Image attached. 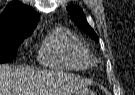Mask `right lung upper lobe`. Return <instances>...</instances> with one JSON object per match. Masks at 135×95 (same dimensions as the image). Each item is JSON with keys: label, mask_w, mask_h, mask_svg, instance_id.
<instances>
[{"label": "right lung upper lobe", "mask_w": 135, "mask_h": 95, "mask_svg": "<svg viewBox=\"0 0 135 95\" xmlns=\"http://www.w3.org/2000/svg\"><path fill=\"white\" fill-rule=\"evenodd\" d=\"M40 15L30 7L13 1L0 15V35L18 31H33Z\"/></svg>", "instance_id": "right-lung-upper-lobe-1"}]
</instances>
